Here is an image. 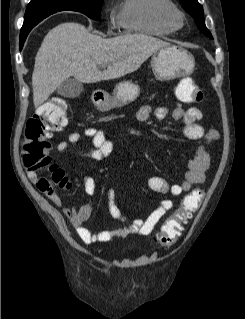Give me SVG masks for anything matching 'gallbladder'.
Returning <instances> with one entry per match:
<instances>
[{
	"instance_id": "gallbladder-1",
	"label": "gallbladder",
	"mask_w": 245,
	"mask_h": 319,
	"mask_svg": "<svg viewBox=\"0 0 245 319\" xmlns=\"http://www.w3.org/2000/svg\"><path fill=\"white\" fill-rule=\"evenodd\" d=\"M83 91V85L76 79H66L57 87V94L66 98H76Z\"/></svg>"
}]
</instances>
